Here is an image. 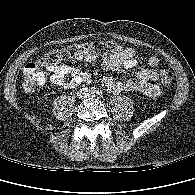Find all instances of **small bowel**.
Here are the masks:
<instances>
[{
	"label": "small bowel",
	"instance_id": "1",
	"mask_svg": "<svg viewBox=\"0 0 195 195\" xmlns=\"http://www.w3.org/2000/svg\"><path fill=\"white\" fill-rule=\"evenodd\" d=\"M76 60L91 64L97 61V56L94 54L79 55ZM138 63L137 51L134 48H125L118 53L106 56L101 65L106 71H117L134 68ZM146 64L147 67L131 79L116 81L113 76L107 75L103 78V84L109 92L115 94L136 92L147 97H156L160 94V88L153 82L161 78L165 70H157L159 59L154 55L146 58ZM48 70L51 73V82L63 89H72L81 83L91 81V76L88 73L67 64L51 66Z\"/></svg>",
	"mask_w": 195,
	"mask_h": 195
}]
</instances>
